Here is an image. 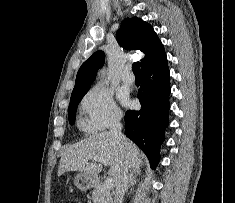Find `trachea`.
Listing matches in <instances>:
<instances>
[{
    "instance_id": "3493384b",
    "label": "trachea",
    "mask_w": 235,
    "mask_h": 203,
    "mask_svg": "<svg viewBox=\"0 0 235 203\" xmlns=\"http://www.w3.org/2000/svg\"><path fill=\"white\" fill-rule=\"evenodd\" d=\"M132 70L135 76H140V64L139 62H135L132 65Z\"/></svg>"
}]
</instances>
